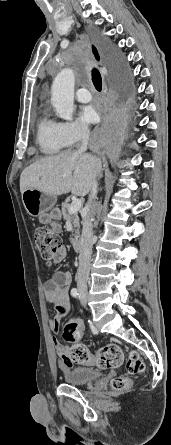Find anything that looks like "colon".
Instances as JSON below:
<instances>
[{
	"label": "colon",
	"mask_w": 171,
	"mask_h": 445,
	"mask_svg": "<svg viewBox=\"0 0 171 445\" xmlns=\"http://www.w3.org/2000/svg\"><path fill=\"white\" fill-rule=\"evenodd\" d=\"M34 236L42 259L46 263L54 262L61 248L60 237L53 231L45 228L35 229ZM78 320L80 319H71L64 329V339L71 343L68 359L73 364H93L100 369L121 366L124 361V355L121 347L117 344L105 345L93 354L89 352L86 345L79 339ZM126 369L129 375H137L145 370V364L137 352L129 354ZM129 384L130 378L128 376H118L111 381V388L114 391H123L128 388Z\"/></svg>",
	"instance_id": "colon-1"
}]
</instances>
